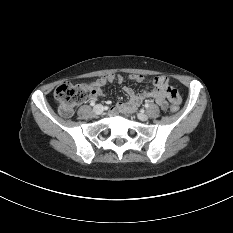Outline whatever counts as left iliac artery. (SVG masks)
Instances as JSON below:
<instances>
[{"label":"left iliac artery","instance_id":"44dca946","mask_svg":"<svg viewBox=\"0 0 233 233\" xmlns=\"http://www.w3.org/2000/svg\"><path fill=\"white\" fill-rule=\"evenodd\" d=\"M144 106H145V108H148V107H149V104H148V103H146Z\"/></svg>","mask_w":233,"mask_h":233}]
</instances>
